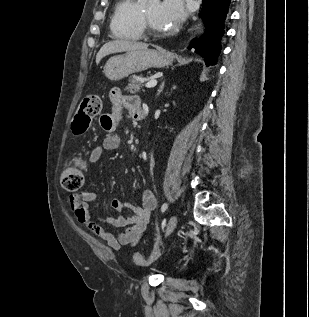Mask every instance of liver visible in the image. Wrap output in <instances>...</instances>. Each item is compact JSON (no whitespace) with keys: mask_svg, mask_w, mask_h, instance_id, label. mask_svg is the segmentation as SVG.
<instances>
[{"mask_svg":"<svg viewBox=\"0 0 309 317\" xmlns=\"http://www.w3.org/2000/svg\"><path fill=\"white\" fill-rule=\"evenodd\" d=\"M148 44L142 42H134L129 40H113L104 44L96 55V64L98 65L102 58L107 55L119 52H128L137 49H146Z\"/></svg>","mask_w":309,"mask_h":317,"instance_id":"liver-1","label":"liver"}]
</instances>
